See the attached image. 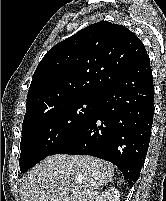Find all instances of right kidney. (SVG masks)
Listing matches in <instances>:
<instances>
[{
  "instance_id": "obj_1",
  "label": "right kidney",
  "mask_w": 166,
  "mask_h": 201,
  "mask_svg": "<svg viewBox=\"0 0 166 201\" xmlns=\"http://www.w3.org/2000/svg\"><path fill=\"white\" fill-rule=\"evenodd\" d=\"M95 201H120L119 191L115 187L104 190Z\"/></svg>"
}]
</instances>
